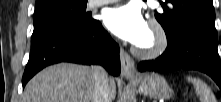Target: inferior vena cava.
<instances>
[{"mask_svg": "<svg viewBox=\"0 0 221 102\" xmlns=\"http://www.w3.org/2000/svg\"><path fill=\"white\" fill-rule=\"evenodd\" d=\"M94 88L92 102H111L109 97V78L106 70L99 65L93 67Z\"/></svg>", "mask_w": 221, "mask_h": 102, "instance_id": "1", "label": "inferior vena cava"}]
</instances>
